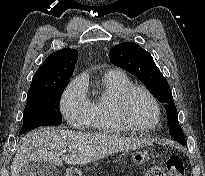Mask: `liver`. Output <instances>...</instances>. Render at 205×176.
<instances>
[{
	"mask_svg": "<svg viewBox=\"0 0 205 176\" xmlns=\"http://www.w3.org/2000/svg\"><path fill=\"white\" fill-rule=\"evenodd\" d=\"M143 144L149 142L104 133L41 128L25 137L12 161L11 176H20L22 168L33 161H45L58 166L63 162L82 165L116 152L136 149ZM60 150H67L69 154L60 157Z\"/></svg>",
	"mask_w": 205,
	"mask_h": 176,
	"instance_id": "1",
	"label": "liver"
}]
</instances>
